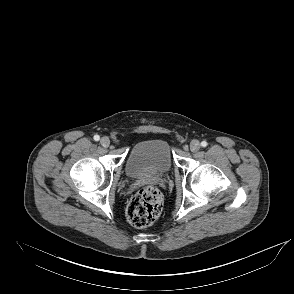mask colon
<instances>
[{
    "label": "colon",
    "mask_w": 294,
    "mask_h": 294,
    "mask_svg": "<svg viewBox=\"0 0 294 294\" xmlns=\"http://www.w3.org/2000/svg\"><path fill=\"white\" fill-rule=\"evenodd\" d=\"M162 206L163 197L160 191L153 186L143 187L128 204L127 219L134 227H147L157 220Z\"/></svg>",
    "instance_id": "obj_1"
}]
</instances>
